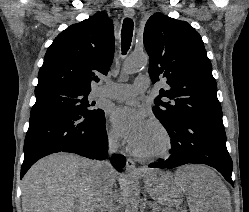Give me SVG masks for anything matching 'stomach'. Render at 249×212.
<instances>
[{
    "instance_id": "stomach-1",
    "label": "stomach",
    "mask_w": 249,
    "mask_h": 212,
    "mask_svg": "<svg viewBox=\"0 0 249 212\" xmlns=\"http://www.w3.org/2000/svg\"><path fill=\"white\" fill-rule=\"evenodd\" d=\"M143 183L152 198H181L183 184H175L172 170H150V175H143ZM157 204H181V199H157Z\"/></svg>"
}]
</instances>
